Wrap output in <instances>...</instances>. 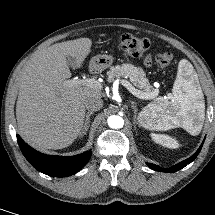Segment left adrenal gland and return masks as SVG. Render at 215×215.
Masks as SVG:
<instances>
[{
	"label": "left adrenal gland",
	"mask_w": 215,
	"mask_h": 215,
	"mask_svg": "<svg viewBox=\"0 0 215 215\" xmlns=\"http://www.w3.org/2000/svg\"><path fill=\"white\" fill-rule=\"evenodd\" d=\"M131 104H132V108L134 109V119H136L138 109L134 101H131Z\"/></svg>",
	"instance_id": "a2214340"
}]
</instances>
